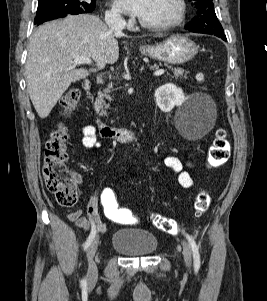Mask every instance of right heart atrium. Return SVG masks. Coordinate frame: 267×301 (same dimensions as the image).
<instances>
[{
	"mask_svg": "<svg viewBox=\"0 0 267 301\" xmlns=\"http://www.w3.org/2000/svg\"><path fill=\"white\" fill-rule=\"evenodd\" d=\"M106 18L110 21H122V16L118 7L115 4H111L107 13Z\"/></svg>",
	"mask_w": 267,
	"mask_h": 301,
	"instance_id": "1",
	"label": "right heart atrium"
}]
</instances>
